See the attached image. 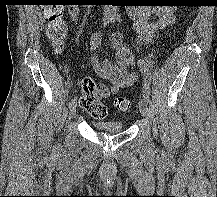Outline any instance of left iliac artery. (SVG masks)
I'll return each instance as SVG.
<instances>
[{
  "label": "left iliac artery",
  "mask_w": 217,
  "mask_h": 197,
  "mask_svg": "<svg viewBox=\"0 0 217 197\" xmlns=\"http://www.w3.org/2000/svg\"><path fill=\"white\" fill-rule=\"evenodd\" d=\"M138 67L144 77L143 80V86H142V95L143 98L149 102V95H150V83H149V78L151 75V71H152V66L150 61L145 60V59H140L137 62Z\"/></svg>",
  "instance_id": "1"
}]
</instances>
